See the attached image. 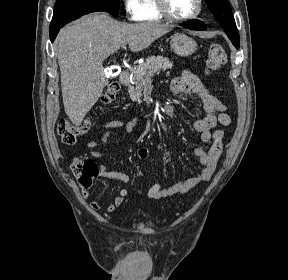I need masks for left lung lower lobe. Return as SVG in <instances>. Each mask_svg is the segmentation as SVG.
Masks as SVG:
<instances>
[{"mask_svg":"<svg viewBox=\"0 0 288 280\" xmlns=\"http://www.w3.org/2000/svg\"><path fill=\"white\" fill-rule=\"evenodd\" d=\"M182 27L189 28V29H194V30H206V26L203 22L199 20H194L188 23H184L181 25ZM237 49L239 46H235Z\"/></svg>","mask_w":288,"mask_h":280,"instance_id":"0a47b994","label":"left lung lower lobe"}]
</instances>
